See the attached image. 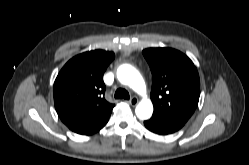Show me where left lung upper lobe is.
I'll use <instances>...</instances> for the list:
<instances>
[{"mask_svg": "<svg viewBox=\"0 0 249 165\" xmlns=\"http://www.w3.org/2000/svg\"><path fill=\"white\" fill-rule=\"evenodd\" d=\"M143 55L152 72L153 114L187 122L200 96L199 75L193 62L172 48H148Z\"/></svg>", "mask_w": 249, "mask_h": 165, "instance_id": "5c2ea615", "label": "left lung upper lobe"}]
</instances>
